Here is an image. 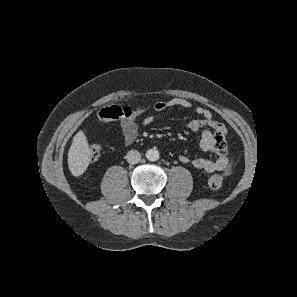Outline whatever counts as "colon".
I'll list each match as a JSON object with an SVG mask.
<instances>
[{"instance_id":"colon-1","label":"colon","mask_w":297,"mask_h":297,"mask_svg":"<svg viewBox=\"0 0 297 297\" xmlns=\"http://www.w3.org/2000/svg\"><path fill=\"white\" fill-rule=\"evenodd\" d=\"M135 109L128 105H111L103 108L99 112V117L102 121L107 122L122 117H129L134 113ZM213 151L219 155H225L227 152V142L224 134L217 132L213 140ZM102 148L100 145H92L89 149L91 160H97L101 155ZM223 184V176L220 174L212 175L208 180V185L211 189H218Z\"/></svg>"}]
</instances>
